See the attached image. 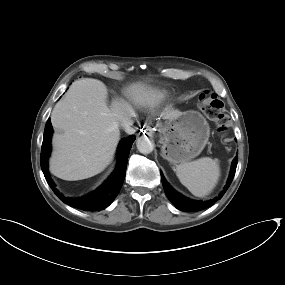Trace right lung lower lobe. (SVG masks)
I'll list each match as a JSON object with an SVG mask.
<instances>
[{"label":"right lung lower lobe","mask_w":285,"mask_h":285,"mask_svg":"<svg viewBox=\"0 0 285 285\" xmlns=\"http://www.w3.org/2000/svg\"><path fill=\"white\" fill-rule=\"evenodd\" d=\"M52 133L53 127L50 119H48L44 131L40 164L45 179L56 196H58L64 203L84 211H100L108 207L119 193L124 182L128 156L131 146L135 140V136L130 135L120 141L117 150L116 169L99 188L83 197L68 198L62 196V194L58 192L48 172V158L51 151Z\"/></svg>","instance_id":"obj_1"}]
</instances>
